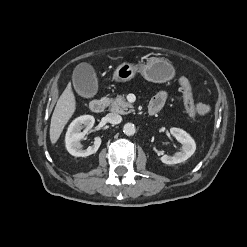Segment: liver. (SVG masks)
I'll use <instances>...</instances> for the list:
<instances>
[{
  "mask_svg": "<svg viewBox=\"0 0 247 247\" xmlns=\"http://www.w3.org/2000/svg\"><path fill=\"white\" fill-rule=\"evenodd\" d=\"M76 109L75 96L69 83L57 101L50 123V140L55 144L59 139L65 125Z\"/></svg>",
  "mask_w": 247,
  "mask_h": 247,
  "instance_id": "6515ba94",
  "label": "liver"
}]
</instances>
